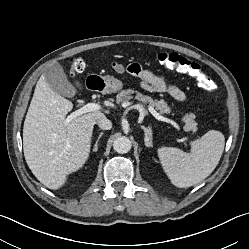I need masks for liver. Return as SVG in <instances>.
Segmentation results:
<instances>
[{"label": "liver", "mask_w": 249, "mask_h": 249, "mask_svg": "<svg viewBox=\"0 0 249 249\" xmlns=\"http://www.w3.org/2000/svg\"><path fill=\"white\" fill-rule=\"evenodd\" d=\"M75 84L82 89L78 81ZM72 108V102L54 92L41 76L24 121L23 151L32 173L49 189L63 186L67 175L85 164L95 121L105 116L92 111L65 123Z\"/></svg>", "instance_id": "1"}]
</instances>
